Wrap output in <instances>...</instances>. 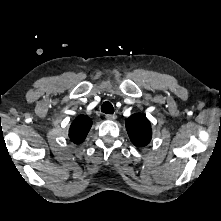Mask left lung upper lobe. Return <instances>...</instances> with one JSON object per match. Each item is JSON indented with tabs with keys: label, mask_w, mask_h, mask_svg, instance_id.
Instances as JSON below:
<instances>
[{
	"label": "left lung upper lobe",
	"mask_w": 221,
	"mask_h": 221,
	"mask_svg": "<svg viewBox=\"0 0 221 221\" xmlns=\"http://www.w3.org/2000/svg\"><path fill=\"white\" fill-rule=\"evenodd\" d=\"M126 129L131 142L137 147H143L151 141V124L142 114L131 115L126 121Z\"/></svg>",
	"instance_id": "1"
}]
</instances>
